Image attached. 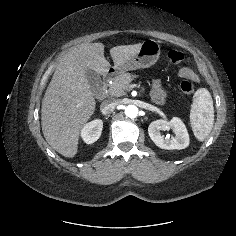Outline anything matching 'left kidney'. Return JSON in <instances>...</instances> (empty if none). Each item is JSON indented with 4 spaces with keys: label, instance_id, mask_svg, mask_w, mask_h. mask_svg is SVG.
<instances>
[{
    "label": "left kidney",
    "instance_id": "left-kidney-1",
    "mask_svg": "<svg viewBox=\"0 0 236 236\" xmlns=\"http://www.w3.org/2000/svg\"><path fill=\"white\" fill-rule=\"evenodd\" d=\"M172 129L174 135L164 137L161 131ZM148 133L151 140L161 149H185L189 145V134L186 126L178 117H173L171 121L159 119L150 123Z\"/></svg>",
    "mask_w": 236,
    "mask_h": 236
}]
</instances>
